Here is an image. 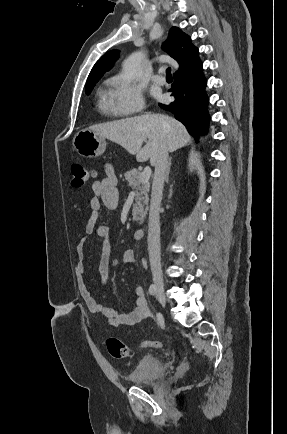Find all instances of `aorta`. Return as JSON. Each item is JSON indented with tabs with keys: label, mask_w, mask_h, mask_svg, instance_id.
<instances>
[{
	"label": "aorta",
	"mask_w": 287,
	"mask_h": 434,
	"mask_svg": "<svg viewBox=\"0 0 287 434\" xmlns=\"http://www.w3.org/2000/svg\"><path fill=\"white\" fill-rule=\"evenodd\" d=\"M144 54L141 51L131 54L123 63V76L127 81H133L141 72Z\"/></svg>",
	"instance_id": "1"
}]
</instances>
